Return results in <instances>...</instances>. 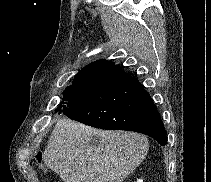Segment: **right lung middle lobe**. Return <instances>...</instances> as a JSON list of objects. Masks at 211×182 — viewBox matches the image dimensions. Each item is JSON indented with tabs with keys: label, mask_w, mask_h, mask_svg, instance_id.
<instances>
[{
	"label": "right lung middle lobe",
	"mask_w": 211,
	"mask_h": 182,
	"mask_svg": "<svg viewBox=\"0 0 211 182\" xmlns=\"http://www.w3.org/2000/svg\"><path fill=\"white\" fill-rule=\"evenodd\" d=\"M82 71V70H81ZM81 71L80 72H78L76 75H75V78H74V80H73V83H72V85L71 86H68V87H66V89L64 90V92H63V96H64V98L65 97H67L72 91H73V89L75 88V86H76V82H77V79H78V77H79V75H80V73H81Z\"/></svg>",
	"instance_id": "1"
}]
</instances>
